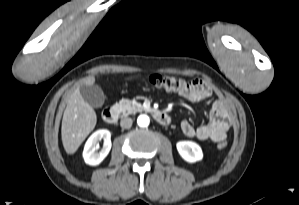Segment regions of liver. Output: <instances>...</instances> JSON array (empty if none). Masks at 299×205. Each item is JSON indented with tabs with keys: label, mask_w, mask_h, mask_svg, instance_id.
<instances>
[{
	"label": "liver",
	"mask_w": 299,
	"mask_h": 205,
	"mask_svg": "<svg viewBox=\"0 0 299 205\" xmlns=\"http://www.w3.org/2000/svg\"><path fill=\"white\" fill-rule=\"evenodd\" d=\"M84 84L93 85L95 77L84 79ZM97 116L92 108L82 97L79 87L70 95L62 118L61 136L63 147L68 154L77 151L89 133L95 128Z\"/></svg>",
	"instance_id": "6515ba94"
}]
</instances>
